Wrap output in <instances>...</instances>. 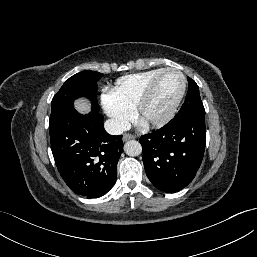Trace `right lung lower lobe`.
Masks as SVG:
<instances>
[{
  "instance_id": "1",
  "label": "right lung lower lobe",
  "mask_w": 257,
  "mask_h": 257,
  "mask_svg": "<svg viewBox=\"0 0 257 257\" xmlns=\"http://www.w3.org/2000/svg\"><path fill=\"white\" fill-rule=\"evenodd\" d=\"M55 164L68 187L83 197L99 198L115 184L123 150L122 135L112 136L98 112L69 110L49 123Z\"/></svg>"
}]
</instances>
